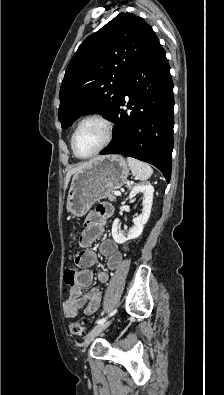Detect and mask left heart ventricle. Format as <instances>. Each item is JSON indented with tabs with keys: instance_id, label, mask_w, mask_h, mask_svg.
I'll return each instance as SVG.
<instances>
[{
	"instance_id": "b2bd125f",
	"label": "left heart ventricle",
	"mask_w": 224,
	"mask_h": 395,
	"mask_svg": "<svg viewBox=\"0 0 224 395\" xmlns=\"http://www.w3.org/2000/svg\"><path fill=\"white\" fill-rule=\"evenodd\" d=\"M106 131L104 126L96 121L84 124L76 137V150L79 155L86 156L94 152L104 141Z\"/></svg>"
}]
</instances>
